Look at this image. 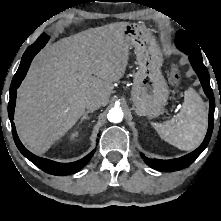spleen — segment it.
<instances>
[{
	"instance_id": "3e777b00",
	"label": "spleen",
	"mask_w": 221,
	"mask_h": 221,
	"mask_svg": "<svg viewBox=\"0 0 221 221\" xmlns=\"http://www.w3.org/2000/svg\"><path fill=\"white\" fill-rule=\"evenodd\" d=\"M207 110L201 97L193 90L184 92L180 112L163 123H153L160 137L180 150L190 151L198 147L206 133Z\"/></svg>"
}]
</instances>
